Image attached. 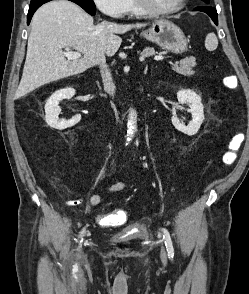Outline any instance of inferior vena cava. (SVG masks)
Listing matches in <instances>:
<instances>
[{
  "label": "inferior vena cava",
  "instance_id": "1",
  "mask_svg": "<svg viewBox=\"0 0 249 294\" xmlns=\"http://www.w3.org/2000/svg\"><path fill=\"white\" fill-rule=\"evenodd\" d=\"M100 72L103 80L104 90L113 96L115 93V85L113 83L111 72L106 65L105 56L102 58L100 63Z\"/></svg>",
  "mask_w": 249,
  "mask_h": 294
}]
</instances>
